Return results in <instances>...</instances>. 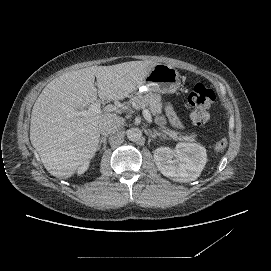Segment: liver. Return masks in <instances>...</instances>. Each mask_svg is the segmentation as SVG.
Masks as SVG:
<instances>
[{"label": "liver", "mask_w": 271, "mask_h": 271, "mask_svg": "<svg viewBox=\"0 0 271 271\" xmlns=\"http://www.w3.org/2000/svg\"><path fill=\"white\" fill-rule=\"evenodd\" d=\"M155 65L146 60L91 66L66 72L46 85L32 109L30 141L52 176L71 177L78 165L94 157L99 125L109 121L124 124L113 105L88 116L77 112L95 103L97 96L101 100L129 97Z\"/></svg>", "instance_id": "6515ba94"}]
</instances>
